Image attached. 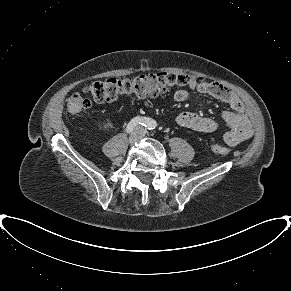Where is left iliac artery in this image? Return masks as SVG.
Instances as JSON below:
<instances>
[{
	"label": "left iliac artery",
	"instance_id": "obj_1",
	"mask_svg": "<svg viewBox=\"0 0 291 291\" xmlns=\"http://www.w3.org/2000/svg\"><path fill=\"white\" fill-rule=\"evenodd\" d=\"M146 127L148 129H154L155 128V123L153 121H150Z\"/></svg>",
	"mask_w": 291,
	"mask_h": 291
}]
</instances>
